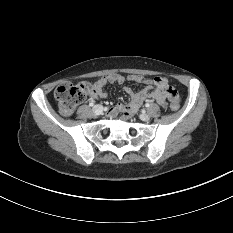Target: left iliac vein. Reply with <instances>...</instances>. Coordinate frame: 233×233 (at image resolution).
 <instances>
[{
	"mask_svg": "<svg viewBox=\"0 0 233 233\" xmlns=\"http://www.w3.org/2000/svg\"><path fill=\"white\" fill-rule=\"evenodd\" d=\"M140 119L143 120V121H150V116L146 113H142L140 114Z\"/></svg>",
	"mask_w": 233,
	"mask_h": 233,
	"instance_id": "1",
	"label": "left iliac vein"
}]
</instances>
